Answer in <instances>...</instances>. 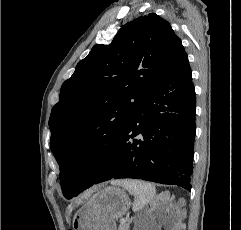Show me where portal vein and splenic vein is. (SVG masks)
<instances>
[{
	"label": "portal vein and splenic vein",
	"mask_w": 241,
	"mask_h": 230,
	"mask_svg": "<svg viewBox=\"0 0 241 230\" xmlns=\"http://www.w3.org/2000/svg\"><path fill=\"white\" fill-rule=\"evenodd\" d=\"M120 223H121V225H123V224L126 223V220H125L124 218H121V219H120Z\"/></svg>",
	"instance_id": "1"
}]
</instances>
